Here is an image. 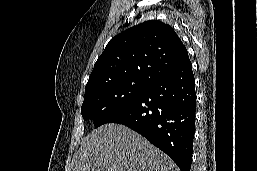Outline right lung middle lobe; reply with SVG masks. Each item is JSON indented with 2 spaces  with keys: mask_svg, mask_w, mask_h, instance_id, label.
I'll list each match as a JSON object with an SVG mask.
<instances>
[{
  "mask_svg": "<svg viewBox=\"0 0 257 171\" xmlns=\"http://www.w3.org/2000/svg\"><path fill=\"white\" fill-rule=\"evenodd\" d=\"M148 85L116 83L86 91L81 114L85 120L93 119L95 127H99L136 99Z\"/></svg>",
  "mask_w": 257,
  "mask_h": 171,
  "instance_id": "obj_1",
  "label": "right lung middle lobe"
}]
</instances>
